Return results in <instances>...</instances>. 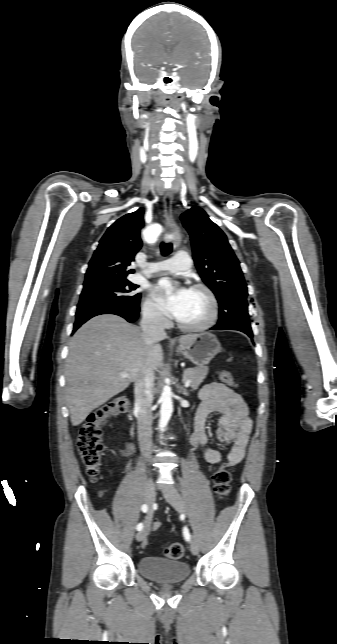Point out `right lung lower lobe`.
Wrapping results in <instances>:
<instances>
[{
    "label": "right lung lower lobe",
    "instance_id": "obj_1",
    "mask_svg": "<svg viewBox=\"0 0 337 644\" xmlns=\"http://www.w3.org/2000/svg\"><path fill=\"white\" fill-rule=\"evenodd\" d=\"M140 307H118V308H106L97 310L91 313L83 314L76 317L73 332H75L83 323H85L90 318L101 315V314H115L125 318L128 322H135L139 316Z\"/></svg>",
    "mask_w": 337,
    "mask_h": 644
}]
</instances>
